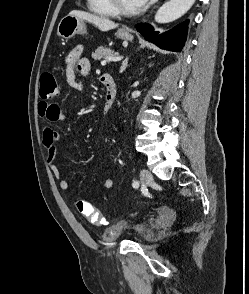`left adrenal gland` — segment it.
<instances>
[{
  "label": "left adrenal gland",
  "instance_id": "1",
  "mask_svg": "<svg viewBox=\"0 0 249 294\" xmlns=\"http://www.w3.org/2000/svg\"><path fill=\"white\" fill-rule=\"evenodd\" d=\"M127 67H128V57H126L124 61L122 62V65L120 67V73H122Z\"/></svg>",
  "mask_w": 249,
  "mask_h": 294
}]
</instances>
